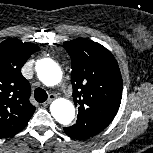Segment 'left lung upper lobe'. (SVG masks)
Masks as SVG:
<instances>
[{
  "label": "left lung upper lobe",
  "instance_id": "5c2ea615",
  "mask_svg": "<svg viewBox=\"0 0 153 153\" xmlns=\"http://www.w3.org/2000/svg\"><path fill=\"white\" fill-rule=\"evenodd\" d=\"M72 60L73 100L77 122L64 131L74 139L89 138L106 128L118 112L122 77L116 59L99 43L77 38L64 42Z\"/></svg>",
  "mask_w": 153,
  "mask_h": 153
}]
</instances>
